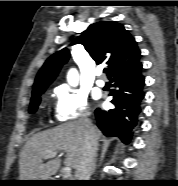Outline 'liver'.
Wrapping results in <instances>:
<instances>
[{"instance_id":"obj_1","label":"liver","mask_w":178,"mask_h":186,"mask_svg":"<svg viewBox=\"0 0 178 186\" xmlns=\"http://www.w3.org/2000/svg\"><path fill=\"white\" fill-rule=\"evenodd\" d=\"M83 120L71 121L53 129L33 135L24 145L19 159L20 180H48L56 174L61 160L50 158L43 162L48 152L65 151L64 164L76 169L82 157L84 146ZM96 141L101 131L93 126Z\"/></svg>"}]
</instances>
